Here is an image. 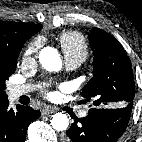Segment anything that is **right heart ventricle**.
Masks as SVG:
<instances>
[{
	"label": "right heart ventricle",
	"instance_id": "e07e8e85",
	"mask_svg": "<svg viewBox=\"0 0 142 142\" xmlns=\"http://www.w3.org/2000/svg\"><path fill=\"white\" fill-rule=\"evenodd\" d=\"M59 43L65 58H77L84 61L88 56L85 38L78 32H65L60 35Z\"/></svg>",
	"mask_w": 142,
	"mask_h": 142
}]
</instances>
